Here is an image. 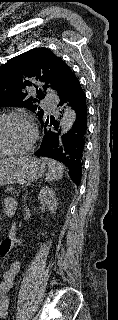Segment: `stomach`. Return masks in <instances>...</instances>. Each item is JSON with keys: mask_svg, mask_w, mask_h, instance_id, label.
<instances>
[{"mask_svg": "<svg viewBox=\"0 0 118 320\" xmlns=\"http://www.w3.org/2000/svg\"><path fill=\"white\" fill-rule=\"evenodd\" d=\"M45 172V163L36 157L24 156L0 161V186L34 181Z\"/></svg>", "mask_w": 118, "mask_h": 320, "instance_id": "stomach-1", "label": "stomach"}]
</instances>
